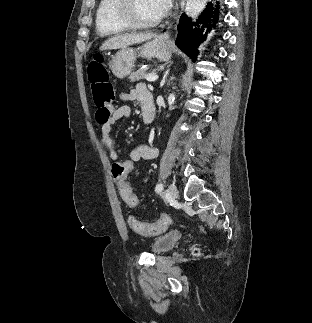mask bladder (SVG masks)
Instances as JSON below:
<instances>
[{"label":"bladder","instance_id":"31cf9c89","mask_svg":"<svg viewBox=\"0 0 312 323\" xmlns=\"http://www.w3.org/2000/svg\"><path fill=\"white\" fill-rule=\"evenodd\" d=\"M178 233L170 232L156 237L152 241V251L154 254L168 252L172 247L177 244Z\"/></svg>","mask_w":312,"mask_h":323}]
</instances>
